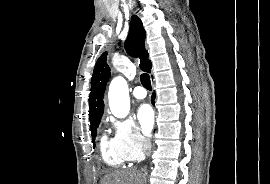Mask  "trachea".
<instances>
[{
  "label": "trachea",
  "instance_id": "trachea-1",
  "mask_svg": "<svg viewBox=\"0 0 270 184\" xmlns=\"http://www.w3.org/2000/svg\"><path fill=\"white\" fill-rule=\"evenodd\" d=\"M140 80H141L142 85L146 89L151 90V82H150V77L148 74H146V73L142 74L140 77Z\"/></svg>",
  "mask_w": 270,
  "mask_h": 184
}]
</instances>
